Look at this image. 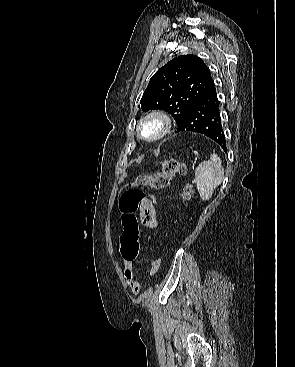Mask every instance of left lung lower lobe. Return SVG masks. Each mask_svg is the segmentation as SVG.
Here are the masks:
<instances>
[{
  "label": "left lung lower lobe",
  "instance_id": "left-lung-lower-lobe-1",
  "mask_svg": "<svg viewBox=\"0 0 295 367\" xmlns=\"http://www.w3.org/2000/svg\"><path fill=\"white\" fill-rule=\"evenodd\" d=\"M177 131H190L203 134L214 140L225 152H227L226 140L221 122L220 102L217 98L212 78L187 111Z\"/></svg>",
  "mask_w": 295,
  "mask_h": 367
}]
</instances>
